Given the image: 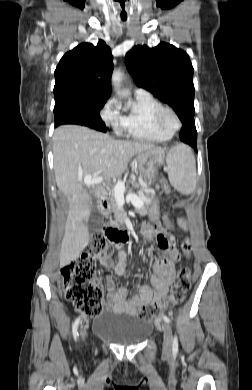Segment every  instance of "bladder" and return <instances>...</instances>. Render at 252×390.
<instances>
[{
  "mask_svg": "<svg viewBox=\"0 0 252 390\" xmlns=\"http://www.w3.org/2000/svg\"><path fill=\"white\" fill-rule=\"evenodd\" d=\"M93 333L112 343L130 346L143 342L150 334L149 323L136 315H105L94 321Z\"/></svg>",
  "mask_w": 252,
  "mask_h": 390,
  "instance_id": "bladder-1",
  "label": "bladder"
}]
</instances>
